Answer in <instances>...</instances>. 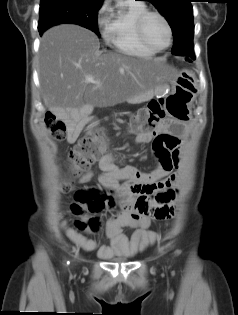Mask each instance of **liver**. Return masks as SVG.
<instances>
[{"instance_id":"obj_1","label":"liver","mask_w":238,"mask_h":315,"mask_svg":"<svg viewBox=\"0 0 238 315\" xmlns=\"http://www.w3.org/2000/svg\"><path fill=\"white\" fill-rule=\"evenodd\" d=\"M38 74L45 107L65 120L85 104L114 106L169 79L158 59L101 51L93 32L72 24L43 34ZM87 76L94 82H86Z\"/></svg>"}]
</instances>
